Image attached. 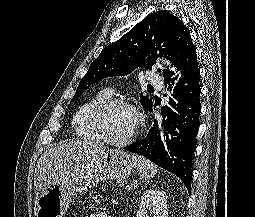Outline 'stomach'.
Instances as JSON below:
<instances>
[{
  "instance_id": "1",
  "label": "stomach",
  "mask_w": 255,
  "mask_h": 217,
  "mask_svg": "<svg viewBox=\"0 0 255 217\" xmlns=\"http://www.w3.org/2000/svg\"><path fill=\"white\" fill-rule=\"evenodd\" d=\"M134 168L131 156L118 149H111L87 162L79 171L69 174L56 184L40 192L36 199L37 217H64L72 197L109 179L123 180Z\"/></svg>"
}]
</instances>
